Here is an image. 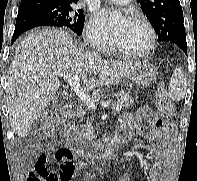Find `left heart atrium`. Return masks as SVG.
<instances>
[{
  "label": "left heart atrium",
  "instance_id": "obj_1",
  "mask_svg": "<svg viewBox=\"0 0 197 181\" xmlns=\"http://www.w3.org/2000/svg\"><path fill=\"white\" fill-rule=\"evenodd\" d=\"M113 12L110 10H103L100 12L99 14V18L101 20V22L103 24H107L110 20V18L112 17ZM127 20H122L116 27H114L112 29V32L115 36H117L119 34V32L121 31V29L127 24Z\"/></svg>",
  "mask_w": 197,
  "mask_h": 181
}]
</instances>
